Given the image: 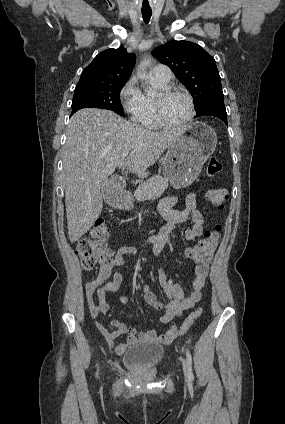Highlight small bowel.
I'll use <instances>...</instances> for the list:
<instances>
[{
	"label": "small bowel",
	"instance_id": "obj_1",
	"mask_svg": "<svg viewBox=\"0 0 285 424\" xmlns=\"http://www.w3.org/2000/svg\"><path fill=\"white\" fill-rule=\"evenodd\" d=\"M197 195L191 193L186 198V206L182 210H175L173 207L177 203L176 196L165 197L160 204V212L168 221V224L157 235L146 240L141 249L151 248L152 253L157 256L161 250L170 244V234L176 226H179L186 221H191V226L184 231V238L188 241H194L204 234V218L202 213L197 209ZM186 250V256L191 258V250ZM140 250L134 246H122L118 249L114 262L118 267L123 266L124 256L132 255ZM192 259V258H191ZM209 260L196 261L194 278L192 281V289L189 295H185L182 287L175 281L169 279L166 273L160 269L158 273L159 282L168 299L167 303L159 301L148 285L143 287L144 299L148 305L157 310H164L161 316V322L168 325V329L163 334H158L155 329H149L143 332H137L134 328L129 327L124 322L113 319L112 326L116 329L109 331L105 325L98 321L100 314H107L110 307L106 302V293L117 291L122 283V273L117 270L114 273L111 282H105L109 270L101 267L99 274L87 282L85 285V295L88 310L92 319L95 320V325L107 346L112 349L117 355L122 356L127 348L140 342H154L158 344L168 345L172 343L183 332L179 330L178 323L173 321L175 316H179L185 309L193 307L202 296V291L209 274ZM122 303H127L128 298L121 296ZM121 335H126L125 343H115V339Z\"/></svg>",
	"mask_w": 285,
	"mask_h": 424
}]
</instances>
